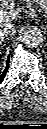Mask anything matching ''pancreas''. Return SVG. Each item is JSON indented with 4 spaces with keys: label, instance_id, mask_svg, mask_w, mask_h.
<instances>
[{
    "label": "pancreas",
    "instance_id": "pancreas-1",
    "mask_svg": "<svg viewBox=\"0 0 47 129\" xmlns=\"http://www.w3.org/2000/svg\"><path fill=\"white\" fill-rule=\"evenodd\" d=\"M23 1L29 3L30 5L36 3L43 8H47V0H23Z\"/></svg>",
    "mask_w": 47,
    "mask_h": 129
}]
</instances>
